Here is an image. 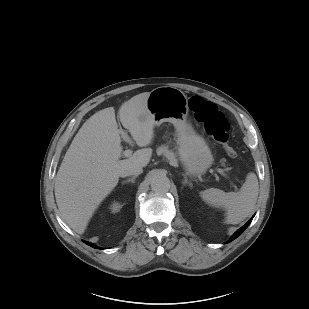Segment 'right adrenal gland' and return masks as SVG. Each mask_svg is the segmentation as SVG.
<instances>
[{"instance_id": "obj_1", "label": "right adrenal gland", "mask_w": 309, "mask_h": 309, "mask_svg": "<svg viewBox=\"0 0 309 309\" xmlns=\"http://www.w3.org/2000/svg\"><path fill=\"white\" fill-rule=\"evenodd\" d=\"M136 178H137V176H133V177H131V178H129V179L123 181L122 184H126V183H129V182L135 183V179H136Z\"/></svg>"}]
</instances>
